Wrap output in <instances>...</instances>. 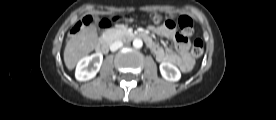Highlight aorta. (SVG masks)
I'll list each match as a JSON object with an SVG mask.
<instances>
[{
	"mask_svg": "<svg viewBox=\"0 0 276 120\" xmlns=\"http://www.w3.org/2000/svg\"><path fill=\"white\" fill-rule=\"evenodd\" d=\"M133 46L137 49L141 48L143 46V41L139 38H135L133 40Z\"/></svg>",
	"mask_w": 276,
	"mask_h": 120,
	"instance_id": "obj_1",
	"label": "aorta"
}]
</instances>
